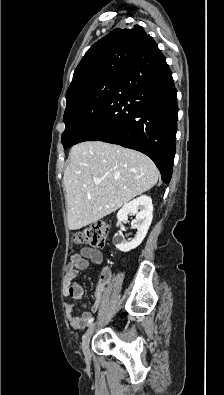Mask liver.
Masks as SVG:
<instances>
[{
  "instance_id": "6515ba94",
  "label": "liver",
  "mask_w": 224,
  "mask_h": 395,
  "mask_svg": "<svg viewBox=\"0 0 224 395\" xmlns=\"http://www.w3.org/2000/svg\"><path fill=\"white\" fill-rule=\"evenodd\" d=\"M159 175L153 161L138 151L101 141L73 146L63 177L69 229H80L115 212L151 189Z\"/></svg>"
}]
</instances>
